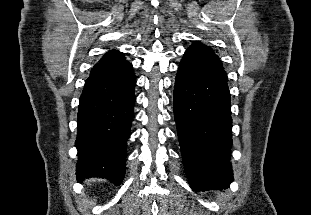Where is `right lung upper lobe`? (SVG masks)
I'll list each match as a JSON object with an SVG mask.
<instances>
[{
  "label": "right lung upper lobe",
  "instance_id": "obj_1",
  "mask_svg": "<svg viewBox=\"0 0 311 215\" xmlns=\"http://www.w3.org/2000/svg\"><path fill=\"white\" fill-rule=\"evenodd\" d=\"M125 60L126 59L122 52H119L118 50H111L100 59L99 63H116Z\"/></svg>",
  "mask_w": 311,
  "mask_h": 215
}]
</instances>
